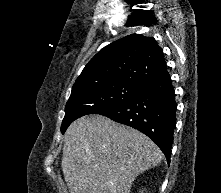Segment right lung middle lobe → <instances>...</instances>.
<instances>
[{"mask_svg": "<svg viewBox=\"0 0 221 193\" xmlns=\"http://www.w3.org/2000/svg\"><path fill=\"white\" fill-rule=\"evenodd\" d=\"M142 84L117 82L72 90L65 107V117L62 121L61 132L77 118L98 114L120 105L135 96Z\"/></svg>", "mask_w": 221, "mask_h": 193, "instance_id": "1", "label": "right lung middle lobe"}]
</instances>
